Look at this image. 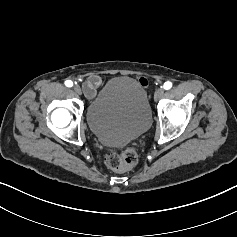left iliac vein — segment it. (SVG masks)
<instances>
[{
	"instance_id": "left-iliac-vein-1",
	"label": "left iliac vein",
	"mask_w": 237,
	"mask_h": 237,
	"mask_svg": "<svg viewBox=\"0 0 237 237\" xmlns=\"http://www.w3.org/2000/svg\"><path fill=\"white\" fill-rule=\"evenodd\" d=\"M163 95H164V89L158 88V89L155 91L154 99L157 101V100H159Z\"/></svg>"
}]
</instances>
